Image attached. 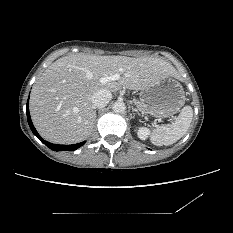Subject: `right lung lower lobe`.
Segmentation results:
<instances>
[{"mask_svg": "<svg viewBox=\"0 0 233 233\" xmlns=\"http://www.w3.org/2000/svg\"><path fill=\"white\" fill-rule=\"evenodd\" d=\"M26 112H27V120H28V124H29V127L31 129V131L33 132V134L42 142V143H45L47 147H49L51 150L53 151H73V150H76L78 149L79 147H81L82 145H84V143L86 141H83L81 143H77V144H73V145H57V144H53V143H50L48 141H45L43 138H41V136L38 134V132L36 131L33 123H32V120H31V116H30V113H29V99H28V102H27V108H26Z\"/></svg>", "mask_w": 233, "mask_h": 233, "instance_id": "1", "label": "right lung lower lobe"}]
</instances>
